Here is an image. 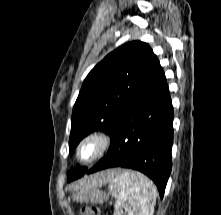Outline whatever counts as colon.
Here are the masks:
<instances>
[{
    "label": "colon",
    "instance_id": "obj_1",
    "mask_svg": "<svg viewBox=\"0 0 221 215\" xmlns=\"http://www.w3.org/2000/svg\"><path fill=\"white\" fill-rule=\"evenodd\" d=\"M81 215H105V214H101L97 208L86 207L82 209Z\"/></svg>",
    "mask_w": 221,
    "mask_h": 215
}]
</instances>
